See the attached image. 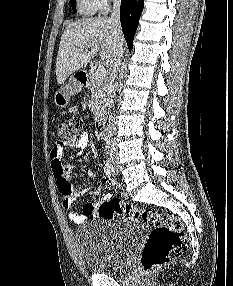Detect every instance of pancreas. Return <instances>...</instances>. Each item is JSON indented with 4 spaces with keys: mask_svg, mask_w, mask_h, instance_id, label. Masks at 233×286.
Returning a JSON list of instances; mask_svg holds the SVG:
<instances>
[{
    "mask_svg": "<svg viewBox=\"0 0 233 286\" xmlns=\"http://www.w3.org/2000/svg\"><path fill=\"white\" fill-rule=\"evenodd\" d=\"M87 87L90 92L91 111L97 119L107 101V82L103 78H97L93 72H90Z\"/></svg>",
    "mask_w": 233,
    "mask_h": 286,
    "instance_id": "cf45deb5",
    "label": "pancreas"
}]
</instances>
